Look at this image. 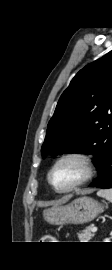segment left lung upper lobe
<instances>
[{
  "instance_id": "obj_1",
  "label": "left lung upper lobe",
  "mask_w": 112,
  "mask_h": 270,
  "mask_svg": "<svg viewBox=\"0 0 112 270\" xmlns=\"http://www.w3.org/2000/svg\"><path fill=\"white\" fill-rule=\"evenodd\" d=\"M69 151L93 154L98 172L112 151V51L75 75L48 123L42 157Z\"/></svg>"
}]
</instances>
